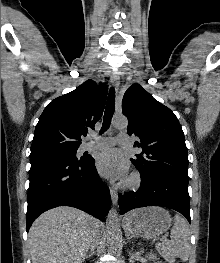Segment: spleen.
<instances>
[{
    "label": "spleen",
    "instance_id": "1",
    "mask_svg": "<svg viewBox=\"0 0 220 263\" xmlns=\"http://www.w3.org/2000/svg\"><path fill=\"white\" fill-rule=\"evenodd\" d=\"M174 226L171 229L170 253L187 261L190 253V230L185 218L175 215Z\"/></svg>",
    "mask_w": 220,
    "mask_h": 263
}]
</instances>
